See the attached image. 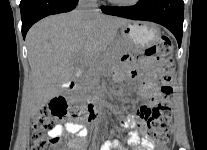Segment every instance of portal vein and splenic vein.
Wrapping results in <instances>:
<instances>
[{
  "instance_id": "1",
  "label": "portal vein and splenic vein",
  "mask_w": 207,
  "mask_h": 150,
  "mask_svg": "<svg viewBox=\"0 0 207 150\" xmlns=\"http://www.w3.org/2000/svg\"><path fill=\"white\" fill-rule=\"evenodd\" d=\"M96 62H97V60H96V58H94L92 60L87 61L85 63V65L89 67L91 64L96 63ZM79 72H81V70H79Z\"/></svg>"
}]
</instances>
